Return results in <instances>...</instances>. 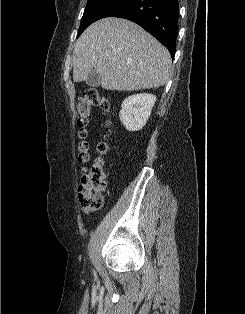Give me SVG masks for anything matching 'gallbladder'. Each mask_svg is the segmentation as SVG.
I'll return each mask as SVG.
<instances>
[{"label": "gallbladder", "mask_w": 245, "mask_h": 314, "mask_svg": "<svg viewBox=\"0 0 245 314\" xmlns=\"http://www.w3.org/2000/svg\"><path fill=\"white\" fill-rule=\"evenodd\" d=\"M85 81L87 85L91 87H98L100 85V75L94 69H92L87 75Z\"/></svg>", "instance_id": "gallbladder-1"}]
</instances>
